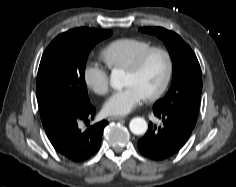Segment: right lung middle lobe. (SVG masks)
I'll return each instance as SVG.
<instances>
[{"mask_svg": "<svg viewBox=\"0 0 236 187\" xmlns=\"http://www.w3.org/2000/svg\"><path fill=\"white\" fill-rule=\"evenodd\" d=\"M111 30L77 28L58 35L43 53L37 75V100L46 133L90 100L85 66L90 50Z\"/></svg>", "mask_w": 236, "mask_h": 187, "instance_id": "1", "label": "right lung middle lobe"}]
</instances>
